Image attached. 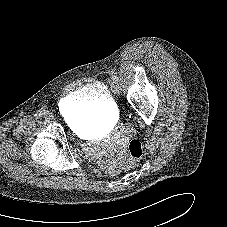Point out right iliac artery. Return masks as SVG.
Listing matches in <instances>:
<instances>
[{
    "instance_id": "obj_1",
    "label": "right iliac artery",
    "mask_w": 227,
    "mask_h": 227,
    "mask_svg": "<svg viewBox=\"0 0 227 227\" xmlns=\"http://www.w3.org/2000/svg\"><path fill=\"white\" fill-rule=\"evenodd\" d=\"M34 116H35L36 118H38V117L41 116V114H40V113H36Z\"/></svg>"
}]
</instances>
